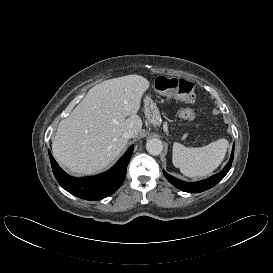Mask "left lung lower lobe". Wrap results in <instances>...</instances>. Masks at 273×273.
Returning <instances> with one entry per match:
<instances>
[{
  "label": "left lung lower lobe",
  "instance_id": "1",
  "mask_svg": "<svg viewBox=\"0 0 273 273\" xmlns=\"http://www.w3.org/2000/svg\"><path fill=\"white\" fill-rule=\"evenodd\" d=\"M233 158H234V149L232 150L229 162L226 164V166L224 167V169L221 172L211 176L208 179H205V180H202L199 182H195V183H188V182H184L179 179H176V178L172 177L171 175H169L168 173H166L164 170H163V173H164V176L167 178V180L170 183H172L174 186L179 188L180 190L185 191V192H189V193H199V192H203L207 189L212 188L221 179L224 178V176L228 173V171L231 168Z\"/></svg>",
  "mask_w": 273,
  "mask_h": 273
}]
</instances>
